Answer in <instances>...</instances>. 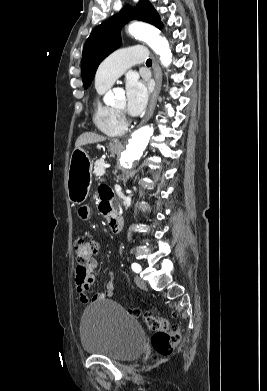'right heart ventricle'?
Segmentation results:
<instances>
[{
  "label": "right heart ventricle",
  "instance_id": "right-heart-ventricle-1",
  "mask_svg": "<svg viewBox=\"0 0 267 391\" xmlns=\"http://www.w3.org/2000/svg\"><path fill=\"white\" fill-rule=\"evenodd\" d=\"M107 87H97V96L93 103V122L95 126L108 136H120L125 131V124L117 117L110 106L101 101V95Z\"/></svg>",
  "mask_w": 267,
  "mask_h": 391
}]
</instances>
